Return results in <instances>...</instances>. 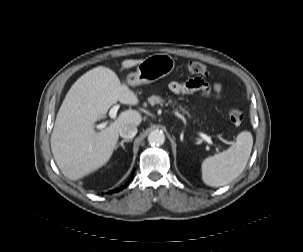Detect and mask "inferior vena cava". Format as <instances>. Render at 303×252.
Masks as SVG:
<instances>
[{
  "mask_svg": "<svg viewBox=\"0 0 303 252\" xmlns=\"http://www.w3.org/2000/svg\"><path fill=\"white\" fill-rule=\"evenodd\" d=\"M120 136L126 139H132L137 133L135 125H124L119 130Z\"/></svg>",
  "mask_w": 303,
  "mask_h": 252,
  "instance_id": "1",
  "label": "inferior vena cava"
}]
</instances>
